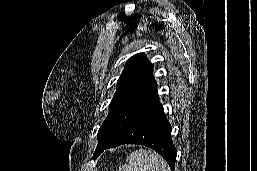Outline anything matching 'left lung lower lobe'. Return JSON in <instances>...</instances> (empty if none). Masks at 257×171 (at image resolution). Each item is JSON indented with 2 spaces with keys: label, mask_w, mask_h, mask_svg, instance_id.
I'll use <instances>...</instances> for the list:
<instances>
[{
  "label": "left lung lower lobe",
  "mask_w": 257,
  "mask_h": 171,
  "mask_svg": "<svg viewBox=\"0 0 257 171\" xmlns=\"http://www.w3.org/2000/svg\"><path fill=\"white\" fill-rule=\"evenodd\" d=\"M171 130L157 94L118 136L96 148L93 159L108 148L141 144L158 152L174 171L177 150L171 139Z\"/></svg>",
  "instance_id": "obj_1"
}]
</instances>
